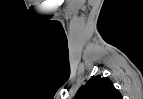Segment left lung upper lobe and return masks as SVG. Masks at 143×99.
Returning <instances> with one entry per match:
<instances>
[{
    "instance_id": "obj_1",
    "label": "left lung upper lobe",
    "mask_w": 143,
    "mask_h": 99,
    "mask_svg": "<svg viewBox=\"0 0 143 99\" xmlns=\"http://www.w3.org/2000/svg\"><path fill=\"white\" fill-rule=\"evenodd\" d=\"M75 99H122V95L109 78L97 75L80 87Z\"/></svg>"
}]
</instances>
